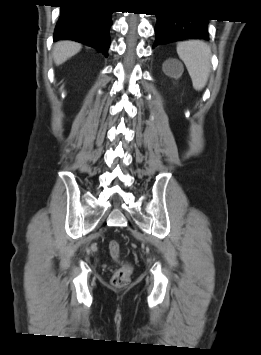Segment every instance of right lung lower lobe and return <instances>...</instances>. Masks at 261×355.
I'll return each instance as SVG.
<instances>
[{
    "label": "right lung lower lobe",
    "mask_w": 261,
    "mask_h": 355,
    "mask_svg": "<svg viewBox=\"0 0 261 355\" xmlns=\"http://www.w3.org/2000/svg\"><path fill=\"white\" fill-rule=\"evenodd\" d=\"M102 0L61 1L54 40L69 39L100 50L105 56L110 45L111 10Z\"/></svg>",
    "instance_id": "right-lung-lower-lobe-1"
}]
</instances>
